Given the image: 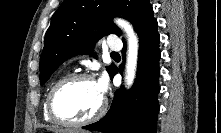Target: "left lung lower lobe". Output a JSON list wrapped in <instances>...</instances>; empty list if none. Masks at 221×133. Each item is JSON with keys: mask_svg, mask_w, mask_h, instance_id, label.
<instances>
[{"mask_svg": "<svg viewBox=\"0 0 221 133\" xmlns=\"http://www.w3.org/2000/svg\"><path fill=\"white\" fill-rule=\"evenodd\" d=\"M157 21H152L138 33L140 50L137 77L132 90L116 91L110 110L104 118L84 129L104 133H156L159 112V42ZM123 48V58L125 56ZM122 66L119 72H122ZM118 73L115 66L110 73L111 79Z\"/></svg>", "mask_w": 221, "mask_h": 133, "instance_id": "1", "label": "left lung lower lobe"}]
</instances>
